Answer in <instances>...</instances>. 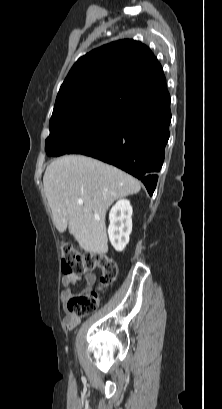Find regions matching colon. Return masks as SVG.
Masks as SVG:
<instances>
[{"label": "colon", "instance_id": "obj_1", "mask_svg": "<svg viewBox=\"0 0 222 409\" xmlns=\"http://www.w3.org/2000/svg\"><path fill=\"white\" fill-rule=\"evenodd\" d=\"M61 269L65 274H84L101 269L99 290L82 291L67 302L68 312L76 317L86 316L95 311L100 302V291L112 285L118 276L115 261L99 253H79L68 241H61Z\"/></svg>", "mask_w": 222, "mask_h": 409}]
</instances>
